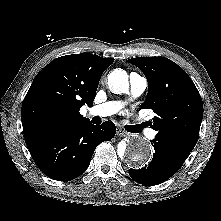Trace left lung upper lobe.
I'll use <instances>...</instances> for the list:
<instances>
[{"label":"left lung upper lobe","instance_id":"left-lung-upper-lobe-1","mask_svg":"<svg viewBox=\"0 0 221 221\" xmlns=\"http://www.w3.org/2000/svg\"><path fill=\"white\" fill-rule=\"evenodd\" d=\"M148 81V94L143 109L156 116L151 128L162 137L193 149L203 118L201 96L187 73L173 61L163 57L128 59Z\"/></svg>","mask_w":221,"mask_h":221}]
</instances>
